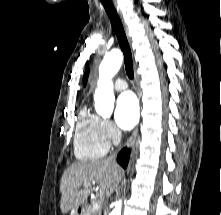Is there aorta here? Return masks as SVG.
<instances>
[{"label":"aorta","mask_w":221,"mask_h":215,"mask_svg":"<svg viewBox=\"0 0 221 215\" xmlns=\"http://www.w3.org/2000/svg\"><path fill=\"white\" fill-rule=\"evenodd\" d=\"M123 61L120 50L113 49L105 54L99 66V80L94 95L95 109L102 116H109L114 107V86L112 78L119 71ZM122 200L114 203L109 215H121Z\"/></svg>","instance_id":"obj_1"}]
</instances>
